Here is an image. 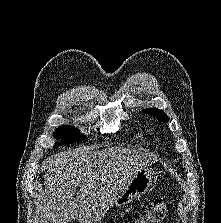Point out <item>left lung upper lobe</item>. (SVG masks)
I'll return each instance as SVG.
<instances>
[{
  "mask_svg": "<svg viewBox=\"0 0 221 223\" xmlns=\"http://www.w3.org/2000/svg\"><path fill=\"white\" fill-rule=\"evenodd\" d=\"M143 112L147 113L149 115L155 116L158 120H160L162 122L168 121L167 115L162 110L152 108V109H145V110H143Z\"/></svg>",
  "mask_w": 221,
  "mask_h": 223,
  "instance_id": "left-lung-upper-lobe-1",
  "label": "left lung upper lobe"
}]
</instances>
